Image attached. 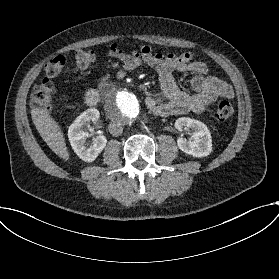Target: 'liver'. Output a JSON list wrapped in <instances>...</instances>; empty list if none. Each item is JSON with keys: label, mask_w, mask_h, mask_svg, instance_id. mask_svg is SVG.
<instances>
[{"label": "liver", "mask_w": 279, "mask_h": 279, "mask_svg": "<svg viewBox=\"0 0 279 279\" xmlns=\"http://www.w3.org/2000/svg\"><path fill=\"white\" fill-rule=\"evenodd\" d=\"M31 117L37 131L49 148L60 158L68 160L69 152L63 133L57 122L49 116L47 110L32 108Z\"/></svg>", "instance_id": "obj_1"}]
</instances>
